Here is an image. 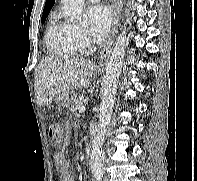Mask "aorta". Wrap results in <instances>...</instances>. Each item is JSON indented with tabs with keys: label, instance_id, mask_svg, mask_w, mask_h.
Here are the masks:
<instances>
[{
	"label": "aorta",
	"instance_id": "aorta-1",
	"mask_svg": "<svg viewBox=\"0 0 197 181\" xmlns=\"http://www.w3.org/2000/svg\"><path fill=\"white\" fill-rule=\"evenodd\" d=\"M63 10L69 19L74 23H81L83 19V8L85 0H61ZM134 0H128L127 7H130ZM129 16V9H126ZM127 45L126 27L118 36L115 46L109 57L106 69L104 87L102 90V102L100 106L99 127L92 142V151L90 156V170L95 181H102L103 165L101 162L102 146L107 127L110 123L113 107L115 103L117 85L122 70L125 49Z\"/></svg>",
	"mask_w": 197,
	"mask_h": 181
}]
</instances>
